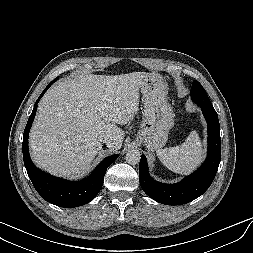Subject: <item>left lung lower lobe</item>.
<instances>
[{
  "label": "left lung lower lobe",
  "mask_w": 253,
  "mask_h": 253,
  "mask_svg": "<svg viewBox=\"0 0 253 253\" xmlns=\"http://www.w3.org/2000/svg\"><path fill=\"white\" fill-rule=\"evenodd\" d=\"M208 125V156L193 174L176 184H164L149 176L147 160L141 156L139 181L142 189L155 201L166 205H180L201 196L213 182L221 160V138L218 115L213 106H201Z\"/></svg>",
  "instance_id": "0a47b994"
}]
</instances>
